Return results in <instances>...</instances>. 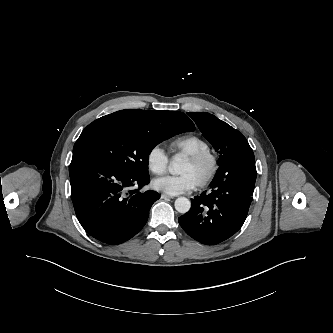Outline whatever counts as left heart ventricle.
I'll list each match as a JSON object with an SVG mask.
<instances>
[{"label":"left heart ventricle","instance_id":"left-heart-ventricle-1","mask_svg":"<svg viewBox=\"0 0 333 333\" xmlns=\"http://www.w3.org/2000/svg\"><path fill=\"white\" fill-rule=\"evenodd\" d=\"M207 171L206 164H192L187 160H184L181 164L178 172L179 174L190 175L197 183L205 176Z\"/></svg>","mask_w":333,"mask_h":333}]
</instances>
